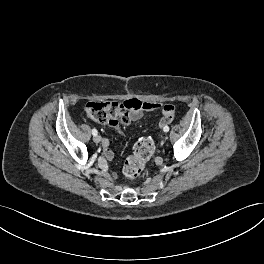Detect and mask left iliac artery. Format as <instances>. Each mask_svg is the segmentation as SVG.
<instances>
[{
	"mask_svg": "<svg viewBox=\"0 0 264 264\" xmlns=\"http://www.w3.org/2000/svg\"><path fill=\"white\" fill-rule=\"evenodd\" d=\"M163 131H164V132H168V131H169V127H168V126H165V127L163 128Z\"/></svg>",
	"mask_w": 264,
	"mask_h": 264,
	"instance_id": "1",
	"label": "left iliac artery"
}]
</instances>
